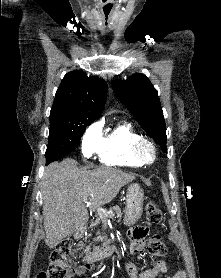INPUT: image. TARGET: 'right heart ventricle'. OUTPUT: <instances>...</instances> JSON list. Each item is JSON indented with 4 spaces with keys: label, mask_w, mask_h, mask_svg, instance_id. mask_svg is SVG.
<instances>
[{
    "label": "right heart ventricle",
    "mask_w": 221,
    "mask_h": 278,
    "mask_svg": "<svg viewBox=\"0 0 221 278\" xmlns=\"http://www.w3.org/2000/svg\"><path fill=\"white\" fill-rule=\"evenodd\" d=\"M140 135L127 122H121L107 130L97 150L99 161L109 166L139 167L142 166L131 154L132 143Z\"/></svg>",
    "instance_id": "e07e8e85"
}]
</instances>
